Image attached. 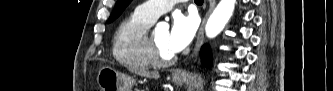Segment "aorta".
Segmentation results:
<instances>
[{"mask_svg":"<svg viewBox=\"0 0 333 91\" xmlns=\"http://www.w3.org/2000/svg\"><path fill=\"white\" fill-rule=\"evenodd\" d=\"M236 0H220L205 26L207 37L217 36L233 14Z\"/></svg>","mask_w":333,"mask_h":91,"instance_id":"1","label":"aorta"}]
</instances>
